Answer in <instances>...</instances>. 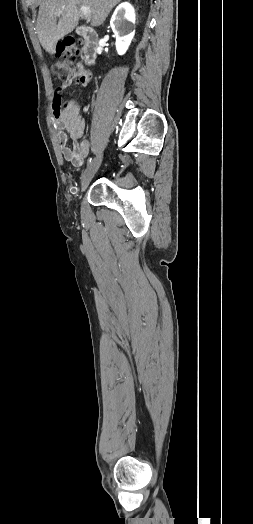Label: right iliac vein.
<instances>
[{
    "label": "right iliac vein",
    "mask_w": 253,
    "mask_h": 524,
    "mask_svg": "<svg viewBox=\"0 0 253 524\" xmlns=\"http://www.w3.org/2000/svg\"><path fill=\"white\" fill-rule=\"evenodd\" d=\"M101 161H102V154H99L94 158L92 163L84 171L82 178H81V190L82 191H85L87 187L89 186L92 178L94 177L98 168L100 167Z\"/></svg>",
    "instance_id": "right-iliac-vein-1"
}]
</instances>
